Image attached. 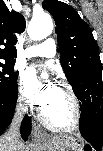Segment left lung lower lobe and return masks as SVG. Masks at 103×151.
I'll return each mask as SVG.
<instances>
[{
  "label": "left lung lower lobe",
  "instance_id": "1",
  "mask_svg": "<svg viewBox=\"0 0 103 151\" xmlns=\"http://www.w3.org/2000/svg\"><path fill=\"white\" fill-rule=\"evenodd\" d=\"M73 91L81 101V135L96 151H101L103 141L102 69H89L87 75L73 86Z\"/></svg>",
  "mask_w": 103,
  "mask_h": 151
}]
</instances>
